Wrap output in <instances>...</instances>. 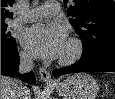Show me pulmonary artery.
<instances>
[{
	"instance_id": "obj_1",
	"label": "pulmonary artery",
	"mask_w": 115,
	"mask_h": 99,
	"mask_svg": "<svg viewBox=\"0 0 115 99\" xmlns=\"http://www.w3.org/2000/svg\"><path fill=\"white\" fill-rule=\"evenodd\" d=\"M60 6L56 1H48L38 7L32 8L25 12L17 22L34 21L45 17L59 14Z\"/></svg>"
}]
</instances>
